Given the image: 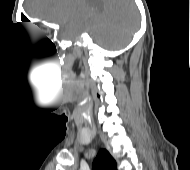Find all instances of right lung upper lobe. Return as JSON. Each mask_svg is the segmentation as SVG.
Returning <instances> with one entry per match:
<instances>
[{"mask_svg": "<svg viewBox=\"0 0 190 170\" xmlns=\"http://www.w3.org/2000/svg\"><path fill=\"white\" fill-rule=\"evenodd\" d=\"M93 170H117L116 162L108 151L102 149L93 162Z\"/></svg>", "mask_w": 190, "mask_h": 170, "instance_id": "1", "label": "right lung upper lobe"}]
</instances>
